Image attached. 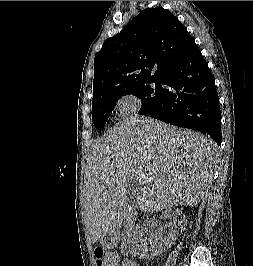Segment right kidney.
Returning <instances> with one entry per match:
<instances>
[{"label":"right kidney","instance_id":"obj_1","mask_svg":"<svg viewBox=\"0 0 253 266\" xmlns=\"http://www.w3.org/2000/svg\"><path fill=\"white\" fill-rule=\"evenodd\" d=\"M177 218V215L173 217L174 223L167 236L162 233L163 227L154 220L136 225L128 236L130 253L142 259H152L161 255L184 231L187 220L185 217L180 220Z\"/></svg>","mask_w":253,"mask_h":266}]
</instances>
